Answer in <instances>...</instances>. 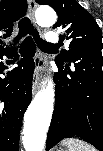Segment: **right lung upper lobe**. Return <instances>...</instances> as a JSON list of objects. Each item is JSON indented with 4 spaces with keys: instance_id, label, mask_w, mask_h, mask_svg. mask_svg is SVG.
Returning <instances> with one entry per match:
<instances>
[{
    "instance_id": "obj_1",
    "label": "right lung upper lobe",
    "mask_w": 103,
    "mask_h": 151,
    "mask_svg": "<svg viewBox=\"0 0 103 151\" xmlns=\"http://www.w3.org/2000/svg\"><path fill=\"white\" fill-rule=\"evenodd\" d=\"M27 10L26 0H3L0 1V44L2 38L11 36L16 21L25 15ZM5 49L0 45V51Z\"/></svg>"
}]
</instances>
